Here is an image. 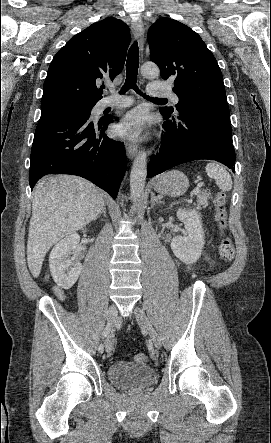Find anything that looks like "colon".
<instances>
[{
	"instance_id": "colon-1",
	"label": "colon",
	"mask_w": 271,
	"mask_h": 443,
	"mask_svg": "<svg viewBox=\"0 0 271 443\" xmlns=\"http://www.w3.org/2000/svg\"><path fill=\"white\" fill-rule=\"evenodd\" d=\"M214 205L215 219L221 233V240L218 246L219 255L225 261H232L235 256V249L232 241L224 234V229L227 222V205L226 198L223 193H218L216 195ZM134 360L137 363L146 364L148 362V357L144 353H137L134 355Z\"/></svg>"
}]
</instances>
